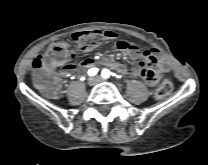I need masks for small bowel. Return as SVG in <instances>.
<instances>
[{"mask_svg": "<svg viewBox=\"0 0 208 165\" xmlns=\"http://www.w3.org/2000/svg\"><path fill=\"white\" fill-rule=\"evenodd\" d=\"M100 33L105 40H115L117 38V33L113 30H102ZM111 50L113 52L124 53L133 60L142 57L143 60L133 65L129 71L134 76L142 78L150 86L156 85L159 81V74L170 68V61L160 57L157 50L148 49L141 51L136 44L129 41H116ZM105 63L121 74L128 72L126 66L121 63L108 59L105 60ZM96 64L97 61L94 57L82 58L79 62L80 67L84 70L92 69ZM76 69L77 65L74 61H67L60 66V71L64 76L74 73Z\"/></svg>", "mask_w": 208, "mask_h": 165, "instance_id": "1", "label": "small bowel"}]
</instances>
